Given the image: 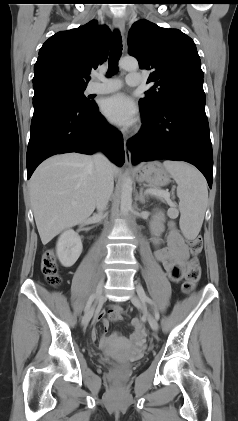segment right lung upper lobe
Segmentation results:
<instances>
[{
    "label": "right lung upper lobe",
    "instance_id": "1",
    "mask_svg": "<svg viewBox=\"0 0 238 421\" xmlns=\"http://www.w3.org/2000/svg\"><path fill=\"white\" fill-rule=\"evenodd\" d=\"M110 34L95 20L54 34L39 50L33 87L48 83L86 87L90 71L107 60Z\"/></svg>",
    "mask_w": 238,
    "mask_h": 421
}]
</instances>
